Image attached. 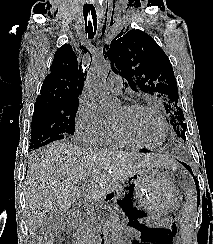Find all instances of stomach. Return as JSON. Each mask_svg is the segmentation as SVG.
<instances>
[{"label": "stomach", "instance_id": "stomach-1", "mask_svg": "<svg viewBox=\"0 0 213 244\" xmlns=\"http://www.w3.org/2000/svg\"><path fill=\"white\" fill-rule=\"evenodd\" d=\"M129 184L150 218L164 217L177 206L179 191L175 182L156 167L135 171L128 178Z\"/></svg>", "mask_w": 213, "mask_h": 244}]
</instances>
